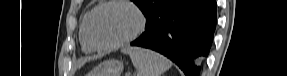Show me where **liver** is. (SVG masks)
Returning a JSON list of instances; mask_svg holds the SVG:
<instances>
[{
  "label": "liver",
  "instance_id": "liver-1",
  "mask_svg": "<svg viewBox=\"0 0 287 76\" xmlns=\"http://www.w3.org/2000/svg\"><path fill=\"white\" fill-rule=\"evenodd\" d=\"M87 61H88L87 59L83 60L81 66L84 65Z\"/></svg>",
  "mask_w": 287,
  "mask_h": 76
}]
</instances>
